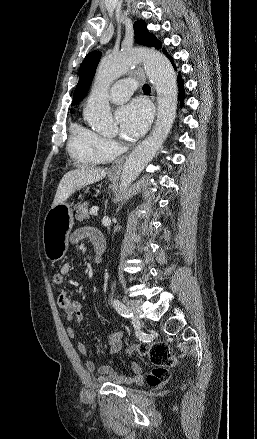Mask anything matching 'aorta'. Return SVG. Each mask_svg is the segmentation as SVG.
<instances>
[{
	"label": "aorta",
	"instance_id": "762f6f07",
	"mask_svg": "<svg viewBox=\"0 0 257 439\" xmlns=\"http://www.w3.org/2000/svg\"><path fill=\"white\" fill-rule=\"evenodd\" d=\"M139 62H143L146 75L156 88L157 120L152 133L126 159L120 179L122 189L129 186L155 157L172 128L178 103L175 71L167 57L154 49L137 48L117 56H106L98 66L84 109V118L94 131L106 136L115 134L117 124L108 102L109 87Z\"/></svg>",
	"mask_w": 257,
	"mask_h": 439
}]
</instances>
